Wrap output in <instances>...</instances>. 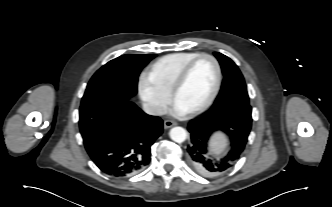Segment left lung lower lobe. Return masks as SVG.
Listing matches in <instances>:
<instances>
[{
	"label": "left lung lower lobe",
	"instance_id": "obj_1",
	"mask_svg": "<svg viewBox=\"0 0 332 207\" xmlns=\"http://www.w3.org/2000/svg\"><path fill=\"white\" fill-rule=\"evenodd\" d=\"M252 108L249 103L231 102L211 108L188 124L190 144L187 148L190 165L201 175L214 177L228 171L241 157L251 130ZM230 138V150L220 159L208 154V141L215 131Z\"/></svg>",
	"mask_w": 332,
	"mask_h": 207
}]
</instances>
